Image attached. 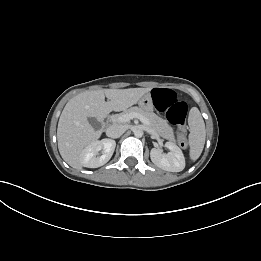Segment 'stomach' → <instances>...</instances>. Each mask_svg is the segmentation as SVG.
Wrapping results in <instances>:
<instances>
[{"instance_id": "0dacf381", "label": "stomach", "mask_w": 261, "mask_h": 261, "mask_svg": "<svg viewBox=\"0 0 261 261\" xmlns=\"http://www.w3.org/2000/svg\"><path fill=\"white\" fill-rule=\"evenodd\" d=\"M139 107L148 112H152L154 105H153V100L150 94L144 95L139 101H138Z\"/></svg>"}]
</instances>
